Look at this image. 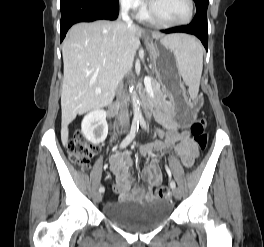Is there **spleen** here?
Segmentation results:
<instances>
[{"label": "spleen", "instance_id": "1", "mask_svg": "<svg viewBox=\"0 0 264 247\" xmlns=\"http://www.w3.org/2000/svg\"><path fill=\"white\" fill-rule=\"evenodd\" d=\"M170 50L175 55L184 83L189 87L190 96L196 98L203 69L202 45L194 37L181 34L170 41Z\"/></svg>", "mask_w": 264, "mask_h": 247}]
</instances>
